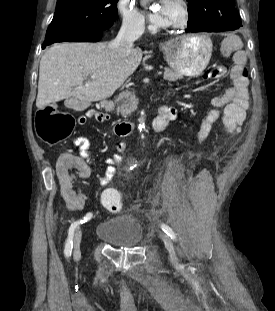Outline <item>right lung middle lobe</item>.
<instances>
[{
	"mask_svg": "<svg viewBox=\"0 0 275 311\" xmlns=\"http://www.w3.org/2000/svg\"><path fill=\"white\" fill-rule=\"evenodd\" d=\"M117 2L118 0H58L45 41L87 29L110 28L117 15Z\"/></svg>",
	"mask_w": 275,
	"mask_h": 311,
	"instance_id": "dd1d6c3e",
	"label": "right lung middle lobe"
}]
</instances>
